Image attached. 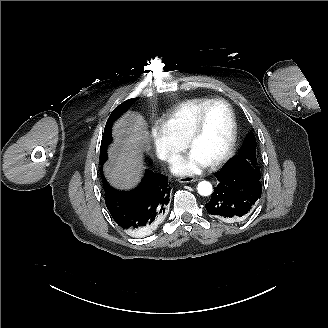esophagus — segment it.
Returning a JSON list of instances; mask_svg holds the SVG:
<instances>
[{
  "label": "esophagus",
  "instance_id": "esophagus-1",
  "mask_svg": "<svg viewBox=\"0 0 328 328\" xmlns=\"http://www.w3.org/2000/svg\"><path fill=\"white\" fill-rule=\"evenodd\" d=\"M198 179L194 176H184V177H181V178H178V182L179 183H192V182H195L197 181Z\"/></svg>",
  "mask_w": 328,
  "mask_h": 328
}]
</instances>
